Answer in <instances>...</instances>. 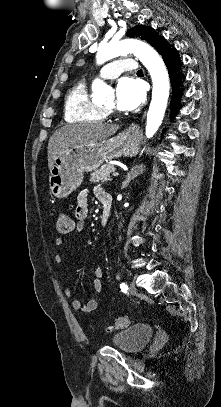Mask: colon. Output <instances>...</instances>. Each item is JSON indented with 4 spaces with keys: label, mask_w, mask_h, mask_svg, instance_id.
Segmentation results:
<instances>
[{
    "label": "colon",
    "mask_w": 221,
    "mask_h": 407,
    "mask_svg": "<svg viewBox=\"0 0 221 407\" xmlns=\"http://www.w3.org/2000/svg\"><path fill=\"white\" fill-rule=\"evenodd\" d=\"M73 228V221L67 213H60L56 220V231L58 234H68ZM129 324L128 314H122L116 317L110 329H123Z\"/></svg>",
    "instance_id": "5ec220e1"
}]
</instances>
